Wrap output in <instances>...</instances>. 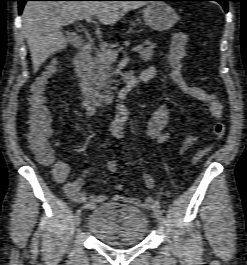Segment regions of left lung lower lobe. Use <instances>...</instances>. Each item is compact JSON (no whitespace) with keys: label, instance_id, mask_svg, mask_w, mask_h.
I'll list each match as a JSON object with an SVG mask.
<instances>
[{"label":"left lung lower lobe","instance_id":"obj_1","mask_svg":"<svg viewBox=\"0 0 247 265\" xmlns=\"http://www.w3.org/2000/svg\"><path fill=\"white\" fill-rule=\"evenodd\" d=\"M144 1H157V0H144ZM158 1H217L223 6L224 10L227 12L228 1H231V0H158Z\"/></svg>","mask_w":247,"mask_h":265}]
</instances>
